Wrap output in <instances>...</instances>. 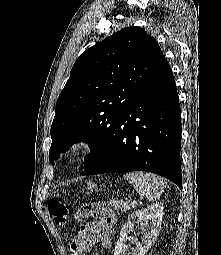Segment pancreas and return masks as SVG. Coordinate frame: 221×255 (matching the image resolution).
I'll list each match as a JSON object with an SVG mask.
<instances>
[{"mask_svg": "<svg viewBox=\"0 0 221 255\" xmlns=\"http://www.w3.org/2000/svg\"><path fill=\"white\" fill-rule=\"evenodd\" d=\"M110 206L113 207L115 210L120 212H126L135 207V204H132L129 201H118V200H111Z\"/></svg>", "mask_w": 221, "mask_h": 255, "instance_id": "obj_1", "label": "pancreas"}]
</instances>
